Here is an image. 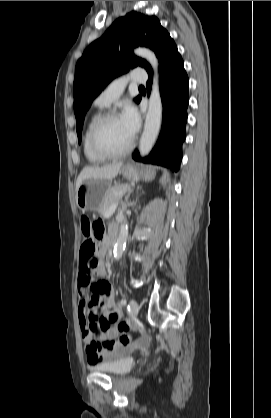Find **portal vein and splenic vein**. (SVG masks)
Here are the masks:
<instances>
[{"instance_id": "1", "label": "portal vein and splenic vein", "mask_w": 271, "mask_h": 418, "mask_svg": "<svg viewBox=\"0 0 271 418\" xmlns=\"http://www.w3.org/2000/svg\"><path fill=\"white\" fill-rule=\"evenodd\" d=\"M118 206V202L114 203L106 212L105 217L109 218L110 216H112V214L114 213V211L116 210Z\"/></svg>"}]
</instances>
